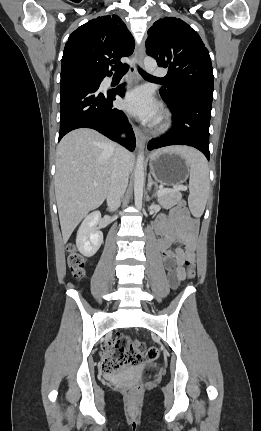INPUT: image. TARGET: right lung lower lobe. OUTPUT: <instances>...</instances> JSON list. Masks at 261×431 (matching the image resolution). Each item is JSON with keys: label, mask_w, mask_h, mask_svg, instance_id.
Here are the masks:
<instances>
[{"label": "right lung lower lobe", "mask_w": 261, "mask_h": 431, "mask_svg": "<svg viewBox=\"0 0 261 431\" xmlns=\"http://www.w3.org/2000/svg\"><path fill=\"white\" fill-rule=\"evenodd\" d=\"M105 76L111 74L98 76V79L88 77L61 79L58 141L74 129L92 128L131 151L135 149V135L126 115L112 105L116 94L124 96L123 85L118 86L113 92H100L99 86ZM122 132H127L126 139L120 138Z\"/></svg>", "instance_id": "obj_1"}]
</instances>
